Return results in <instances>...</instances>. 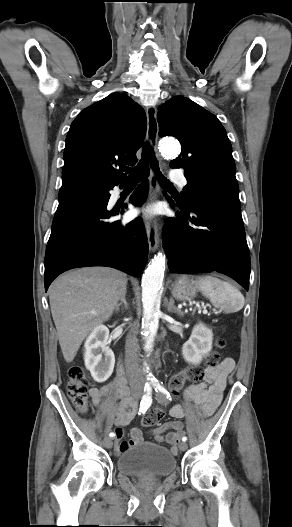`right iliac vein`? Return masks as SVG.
I'll return each instance as SVG.
<instances>
[{
  "instance_id": "right-iliac-vein-1",
  "label": "right iliac vein",
  "mask_w": 292,
  "mask_h": 527,
  "mask_svg": "<svg viewBox=\"0 0 292 527\" xmlns=\"http://www.w3.org/2000/svg\"><path fill=\"white\" fill-rule=\"evenodd\" d=\"M134 397H135L136 399H138V398L140 397V393H136V394H134ZM105 445H106V447H107L108 449L112 448V446H113V441H112V439H110V438L106 439V440H105Z\"/></svg>"
}]
</instances>
